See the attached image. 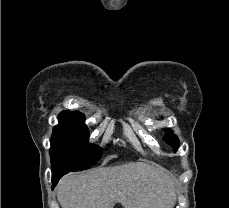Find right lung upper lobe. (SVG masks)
Returning a JSON list of instances; mask_svg holds the SVG:
<instances>
[{
  "label": "right lung upper lobe",
  "instance_id": "1",
  "mask_svg": "<svg viewBox=\"0 0 229 208\" xmlns=\"http://www.w3.org/2000/svg\"><path fill=\"white\" fill-rule=\"evenodd\" d=\"M60 115L84 118V114L77 112V111L71 112V111L66 110V111H62Z\"/></svg>",
  "mask_w": 229,
  "mask_h": 208
}]
</instances>
